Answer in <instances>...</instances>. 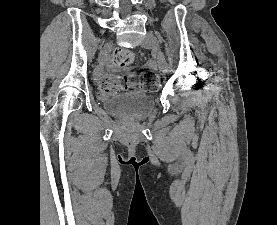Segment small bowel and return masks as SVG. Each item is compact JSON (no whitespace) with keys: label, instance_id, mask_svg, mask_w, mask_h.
Returning a JSON list of instances; mask_svg holds the SVG:
<instances>
[{"label":"small bowel","instance_id":"c3829d8e","mask_svg":"<svg viewBox=\"0 0 277 225\" xmlns=\"http://www.w3.org/2000/svg\"><path fill=\"white\" fill-rule=\"evenodd\" d=\"M97 78H98V80L103 81V79H104V72H103V69H102V68H100V69L98 70Z\"/></svg>","mask_w":277,"mask_h":225}]
</instances>
